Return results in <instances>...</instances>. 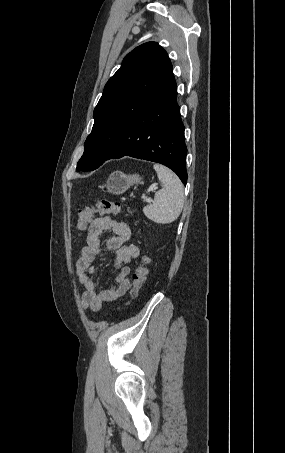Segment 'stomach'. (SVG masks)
<instances>
[{
    "label": "stomach",
    "mask_w": 285,
    "mask_h": 453,
    "mask_svg": "<svg viewBox=\"0 0 285 453\" xmlns=\"http://www.w3.org/2000/svg\"><path fill=\"white\" fill-rule=\"evenodd\" d=\"M134 184H143L142 177L138 174L127 175L121 171H116L110 174L105 187L109 193L121 195Z\"/></svg>",
    "instance_id": "1"
}]
</instances>
